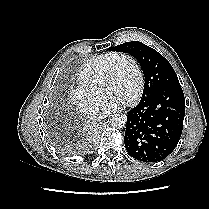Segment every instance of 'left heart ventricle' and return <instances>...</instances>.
<instances>
[{"instance_id":"obj_1","label":"left heart ventricle","mask_w":209,"mask_h":209,"mask_svg":"<svg viewBox=\"0 0 209 209\" xmlns=\"http://www.w3.org/2000/svg\"><path fill=\"white\" fill-rule=\"evenodd\" d=\"M137 75L133 64L127 60H119L107 87L106 95L126 100L136 84Z\"/></svg>"}]
</instances>
